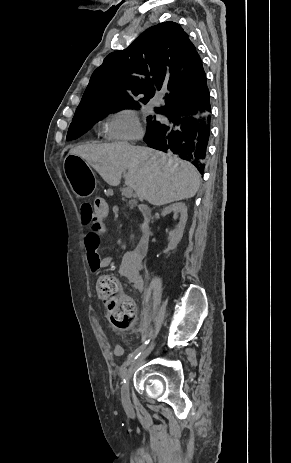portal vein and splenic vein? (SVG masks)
<instances>
[{"instance_id":"1","label":"portal vein and splenic vein","mask_w":291,"mask_h":463,"mask_svg":"<svg viewBox=\"0 0 291 463\" xmlns=\"http://www.w3.org/2000/svg\"><path fill=\"white\" fill-rule=\"evenodd\" d=\"M122 193L126 198L133 197V190H132V187H130V186L125 187L123 189Z\"/></svg>"}]
</instances>
